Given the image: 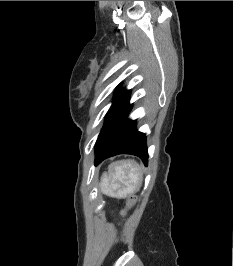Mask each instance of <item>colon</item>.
<instances>
[{"label":"colon","mask_w":233,"mask_h":266,"mask_svg":"<svg viewBox=\"0 0 233 266\" xmlns=\"http://www.w3.org/2000/svg\"><path fill=\"white\" fill-rule=\"evenodd\" d=\"M134 202H135L134 199H129V200H128V203H127V208H128L129 206H131L132 204H134ZM127 208H125V209L122 211L123 214H125V213L127 212Z\"/></svg>","instance_id":"5ec220e1"}]
</instances>
